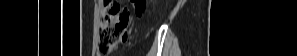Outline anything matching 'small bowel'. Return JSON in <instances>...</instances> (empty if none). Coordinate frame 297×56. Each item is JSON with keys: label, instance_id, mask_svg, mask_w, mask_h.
I'll list each match as a JSON object with an SVG mask.
<instances>
[{"label": "small bowel", "instance_id": "obj_1", "mask_svg": "<svg viewBox=\"0 0 297 56\" xmlns=\"http://www.w3.org/2000/svg\"><path fill=\"white\" fill-rule=\"evenodd\" d=\"M128 38H130V33H121L119 36L120 45H127Z\"/></svg>", "mask_w": 297, "mask_h": 56}]
</instances>
